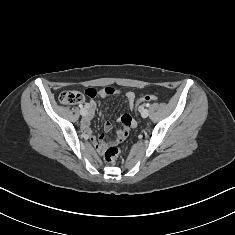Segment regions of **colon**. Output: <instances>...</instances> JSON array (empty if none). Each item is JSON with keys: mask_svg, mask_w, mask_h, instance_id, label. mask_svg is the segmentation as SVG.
I'll list each match as a JSON object with an SVG mask.
<instances>
[{"mask_svg": "<svg viewBox=\"0 0 235 235\" xmlns=\"http://www.w3.org/2000/svg\"><path fill=\"white\" fill-rule=\"evenodd\" d=\"M111 94V88L104 89H96V88H87L84 92H80L77 90H69L64 91L59 96V101L64 105H73L79 103L83 100V98L89 97L94 98L96 96H104ZM158 97L154 94H147L139 97L136 100V104L146 103V102H154L157 101ZM120 122L123 126V129L119 131L116 138L110 141L107 146L103 149V156L107 163H114L121 155L119 148L117 147V143L123 141L130 130V128L134 125V121L129 114H124L120 118Z\"/></svg>", "mask_w": 235, "mask_h": 235, "instance_id": "1", "label": "colon"}]
</instances>
